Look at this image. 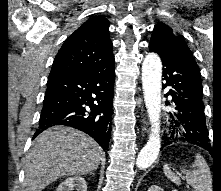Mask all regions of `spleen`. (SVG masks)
Instances as JSON below:
<instances>
[{
  "label": "spleen",
  "mask_w": 221,
  "mask_h": 191,
  "mask_svg": "<svg viewBox=\"0 0 221 191\" xmlns=\"http://www.w3.org/2000/svg\"><path fill=\"white\" fill-rule=\"evenodd\" d=\"M163 171L165 176L173 183L176 185L181 184L178 176L168 165H164ZM181 171L186 174V182L193 187L194 191H212L211 171L201 155L197 154L195 156V161L189 170L182 168Z\"/></svg>",
  "instance_id": "spleen-1"
}]
</instances>
